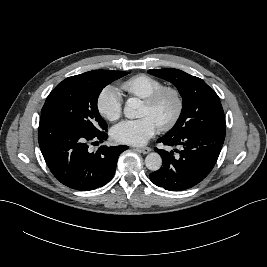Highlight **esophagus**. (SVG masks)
Wrapping results in <instances>:
<instances>
[{
  "label": "esophagus",
  "mask_w": 267,
  "mask_h": 267,
  "mask_svg": "<svg viewBox=\"0 0 267 267\" xmlns=\"http://www.w3.org/2000/svg\"><path fill=\"white\" fill-rule=\"evenodd\" d=\"M138 151L142 152L143 154H147L151 151V148L149 147H142V148H137Z\"/></svg>",
  "instance_id": "esophagus-1"
}]
</instances>
